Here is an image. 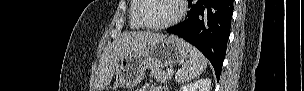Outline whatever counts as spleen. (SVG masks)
<instances>
[{
  "label": "spleen",
  "instance_id": "obj_1",
  "mask_svg": "<svg viewBox=\"0 0 304 91\" xmlns=\"http://www.w3.org/2000/svg\"><path fill=\"white\" fill-rule=\"evenodd\" d=\"M186 46L189 51V60L182 65V68L175 75V80L180 83L199 77L207 67V60L203 54L188 43H186Z\"/></svg>",
  "mask_w": 304,
  "mask_h": 91
}]
</instances>
